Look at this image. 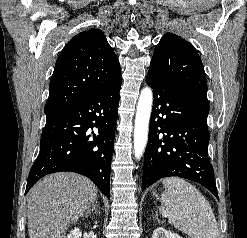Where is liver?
Segmentation results:
<instances>
[{
	"mask_svg": "<svg viewBox=\"0 0 247 238\" xmlns=\"http://www.w3.org/2000/svg\"><path fill=\"white\" fill-rule=\"evenodd\" d=\"M96 199V186L84 176L70 172L46 176L29 192V238H62Z\"/></svg>",
	"mask_w": 247,
	"mask_h": 238,
	"instance_id": "1",
	"label": "liver"
}]
</instances>
